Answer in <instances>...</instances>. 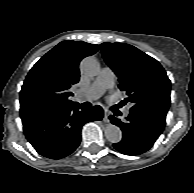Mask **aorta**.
Returning <instances> with one entry per match:
<instances>
[{"label": "aorta", "mask_w": 194, "mask_h": 193, "mask_svg": "<svg viewBox=\"0 0 194 193\" xmlns=\"http://www.w3.org/2000/svg\"><path fill=\"white\" fill-rule=\"evenodd\" d=\"M81 71L89 77L96 76L100 70V65L94 57H86L80 64ZM105 137L111 143H118L122 139V131L120 128L113 124H108L105 127Z\"/></svg>", "instance_id": "1"}]
</instances>
